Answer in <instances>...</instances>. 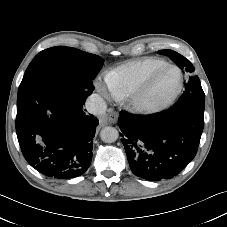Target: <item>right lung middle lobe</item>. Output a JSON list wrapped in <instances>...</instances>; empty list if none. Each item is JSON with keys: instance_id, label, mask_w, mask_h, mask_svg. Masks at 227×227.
<instances>
[{"instance_id": "1", "label": "right lung middle lobe", "mask_w": 227, "mask_h": 227, "mask_svg": "<svg viewBox=\"0 0 227 227\" xmlns=\"http://www.w3.org/2000/svg\"><path fill=\"white\" fill-rule=\"evenodd\" d=\"M104 63L97 55L66 46L39 52L29 64L17 98L44 84H68L93 89L92 80Z\"/></svg>"}]
</instances>
